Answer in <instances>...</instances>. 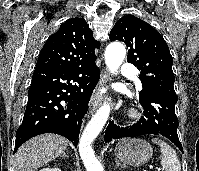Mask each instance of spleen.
<instances>
[{"label":"spleen","instance_id":"obj_1","mask_svg":"<svg viewBox=\"0 0 199 171\" xmlns=\"http://www.w3.org/2000/svg\"><path fill=\"white\" fill-rule=\"evenodd\" d=\"M152 142L160 146L162 153L161 165L165 168L166 171H181V164L178 160L175 150L166 142L154 138Z\"/></svg>","mask_w":199,"mask_h":171}]
</instances>
